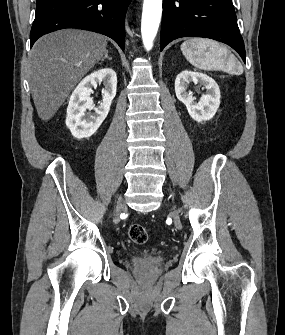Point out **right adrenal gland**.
<instances>
[{"mask_svg": "<svg viewBox=\"0 0 285 335\" xmlns=\"http://www.w3.org/2000/svg\"><path fill=\"white\" fill-rule=\"evenodd\" d=\"M104 60H112V58H109L108 54H105L104 58L101 60V64L104 62Z\"/></svg>", "mask_w": 285, "mask_h": 335, "instance_id": "obj_1", "label": "right adrenal gland"}]
</instances>
